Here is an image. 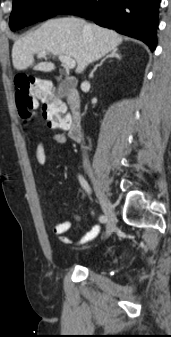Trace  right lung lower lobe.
<instances>
[{"instance_id":"1","label":"right lung lower lobe","mask_w":171,"mask_h":337,"mask_svg":"<svg viewBox=\"0 0 171 337\" xmlns=\"http://www.w3.org/2000/svg\"><path fill=\"white\" fill-rule=\"evenodd\" d=\"M160 0H76L58 14H74L146 43L157 45Z\"/></svg>"}]
</instances>
